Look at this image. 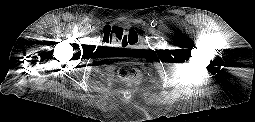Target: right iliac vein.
Segmentation results:
<instances>
[{
	"label": "right iliac vein",
	"instance_id": "right-iliac-vein-1",
	"mask_svg": "<svg viewBox=\"0 0 255 122\" xmlns=\"http://www.w3.org/2000/svg\"><path fill=\"white\" fill-rule=\"evenodd\" d=\"M94 31H95L94 28H90V29H89V32H91V33H93Z\"/></svg>",
	"mask_w": 255,
	"mask_h": 122
}]
</instances>
